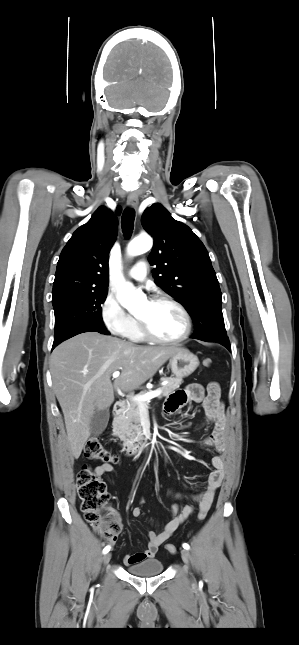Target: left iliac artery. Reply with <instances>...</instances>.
<instances>
[{
  "label": "left iliac artery",
  "instance_id": "obj_1",
  "mask_svg": "<svg viewBox=\"0 0 299 645\" xmlns=\"http://www.w3.org/2000/svg\"><path fill=\"white\" fill-rule=\"evenodd\" d=\"M182 546H183V548H184V549H186V550H189V549H190V546H189V544H187V543H183V545H182Z\"/></svg>",
  "mask_w": 299,
  "mask_h": 645
}]
</instances>
